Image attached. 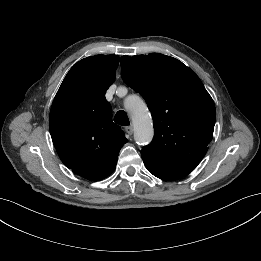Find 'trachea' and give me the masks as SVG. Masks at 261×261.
Wrapping results in <instances>:
<instances>
[{
	"label": "trachea",
	"mask_w": 261,
	"mask_h": 261,
	"mask_svg": "<svg viewBox=\"0 0 261 261\" xmlns=\"http://www.w3.org/2000/svg\"><path fill=\"white\" fill-rule=\"evenodd\" d=\"M114 121H115V123H117V124H119L121 126H127V125L130 124L129 118H128L126 112L123 111V110H119L116 113V115L114 117Z\"/></svg>",
	"instance_id": "1"
}]
</instances>
